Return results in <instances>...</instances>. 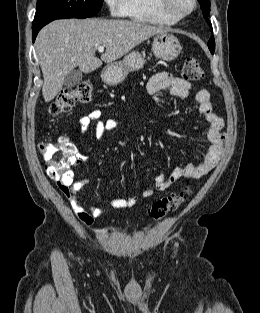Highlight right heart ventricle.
Returning <instances> with one entry per match:
<instances>
[{
  "mask_svg": "<svg viewBox=\"0 0 260 313\" xmlns=\"http://www.w3.org/2000/svg\"><path fill=\"white\" fill-rule=\"evenodd\" d=\"M126 16L135 22L154 25L177 23L159 11L157 0H126Z\"/></svg>",
  "mask_w": 260,
  "mask_h": 313,
  "instance_id": "obj_1",
  "label": "right heart ventricle"
}]
</instances>
